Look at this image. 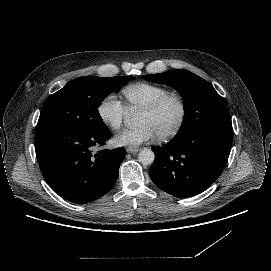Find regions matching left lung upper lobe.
<instances>
[{
	"label": "left lung upper lobe",
	"mask_w": 271,
	"mask_h": 271,
	"mask_svg": "<svg viewBox=\"0 0 271 271\" xmlns=\"http://www.w3.org/2000/svg\"><path fill=\"white\" fill-rule=\"evenodd\" d=\"M142 77L154 83L175 87L184 97L185 116L178 133L205 124H231L224 99L209 82L196 74L185 69H176Z\"/></svg>",
	"instance_id": "left-lung-upper-lobe-1"
}]
</instances>
